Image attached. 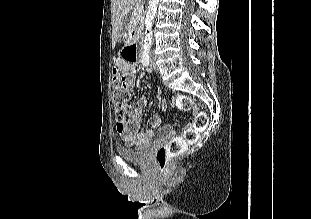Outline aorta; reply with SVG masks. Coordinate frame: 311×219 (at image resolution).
Wrapping results in <instances>:
<instances>
[{"instance_id":"aorta-1","label":"aorta","mask_w":311,"mask_h":219,"mask_svg":"<svg viewBox=\"0 0 311 219\" xmlns=\"http://www.w3.org/2000/svg\"><path fill=\"white\" fill-rule=\"evenodd\" d=\"M158 2L159 0H149L148 10L146 12L145 18V37H144L145 48H150L152 45V27L157 12Z\"/></svg>"}]
</instances>
